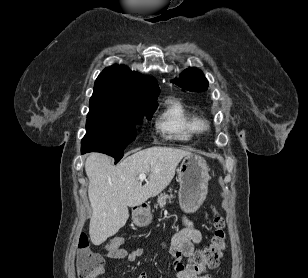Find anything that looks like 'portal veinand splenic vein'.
I'll return each mask as SVG.
<instances>
[{
    "instance_id": "1",
    "label": "portal vein and splenic vein",
    "mask_w": 308,
    "mask_h": 278,
    "mask_svg": "<svg viewBox=\"0 0 308 278\" xmlns=\"http://www.w3.org/2000/svg\"><path fill=\"white\" fill-rule=\"evenodd\" d=\"M146 176H147L146 173H140L138 178L142 180V179H145Z\"/></svg>"
}]
</instances>
